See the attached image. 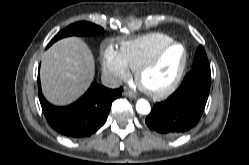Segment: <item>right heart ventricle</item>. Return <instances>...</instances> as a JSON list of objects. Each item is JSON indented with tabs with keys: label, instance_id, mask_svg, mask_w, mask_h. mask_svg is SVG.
Wrapping results in <instances>:
<instances>
[{
	"label": "right heart ventricle",
	"instance_id": "obj_1",
	"mask_svg": "<svg viewBox=\"0 0 249 165\" xmlns=\"http://www.w3.org/2000/svg\"><path fill=\"white\" fill-rule=\"evenodd\" d=\"M172 41L173 38L165 33L153 32L123 42L120 46V54L129 69L135 71L142 62L153 57Z\"/></svg>",
	"mask_w": 249,
	"mask_h": 165
}]
</instances>
